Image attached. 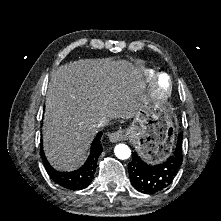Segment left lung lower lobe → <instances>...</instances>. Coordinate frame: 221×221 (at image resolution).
<instances>
[{
    "label": "left lung lower lobe",
    "instance_id": "0a47b994",
    "mask_svg": "<svg viewBox=\"0 0 221 221\" xmlns=\"http://www.w3.org/2000/svg\"><path fill=\"white\" fill-rule=\"evenodd\" d=\"M182 139L180 133L173 154L157 165H148L136 152L132 153L128 170L131 184L136 190L145 194H154L170 185L183 161Z\"/></svg>",
    "mask_w": 221,
    "mask_h": 221
}]
</instances>
